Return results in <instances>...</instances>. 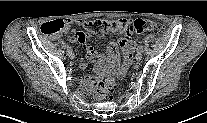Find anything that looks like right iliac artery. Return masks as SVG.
Here are the masks:
<instances>
[{
	"label": "right iliac artery",
	"mask_w": 207,
	"mask_h": 123,
	"mask_svg": "<svg viewBox=\"0 0 207 123\" xmlns=\"http://www.w3.org/2000/svg\"><path fill=\"white\" fill-rule=\"evenodd\" d=\"M72 49H71V47H67V52H69V51H71Z\"/></svg>",
	"instance_id": "82829eb1"
}]
</instances>
